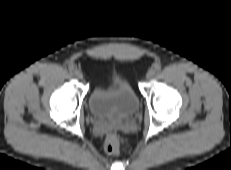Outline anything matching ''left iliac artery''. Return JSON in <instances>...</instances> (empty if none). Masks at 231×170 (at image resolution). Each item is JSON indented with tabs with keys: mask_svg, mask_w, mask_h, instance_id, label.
I'll list each match as a JSON object with an SVG mask.
<instances>
[{
	"mask_svg": "<svg viewBox=\"0 0 231 170\" xmlns=\"http://www.w3.org/2000/svg\"><path fill=\"white\" fill-rule=\"evenodd\" d=\"M155 70L160 71L161 70V65H159V64L155 65Z\"/></svg>",
	"mask_w": 231,
	"mask_h": 170,
	"instance_id": "1",
	"label": "left iliac artery"
}]
</instances>
